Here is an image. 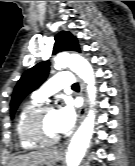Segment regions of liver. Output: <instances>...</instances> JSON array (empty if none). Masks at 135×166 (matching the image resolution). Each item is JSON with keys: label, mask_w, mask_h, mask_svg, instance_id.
<instances>
[{"label": "liver", "mask_w": 135, "mask_h": 166, "mask_svg": "<svg viewBox=\"0 0 135 166\" xmlns=\"http://www.w3.org/2000/svg\"><path fill=\"white\" fill-rule=\"evenodd\" d=\"M50 150L33 151L28 154L16 157L12 161L13 166H33L38 161H46L50 157Z\"/></svg>", "instance_id": "obj_1"}]
</instances>
